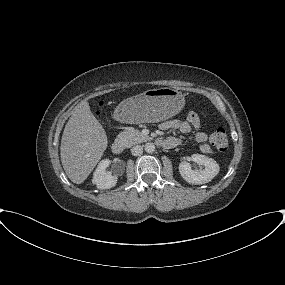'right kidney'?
<instances>
[{
    "label": "right kidney",
    "mask_w": 285,
    "mask_h": 285,
    "mask_svg": "<svg viewBox=\"0 0 285 285\" xmlns=\"http://www.w3.org/2000/svg\"><path fill=\"white\" fill-rule=\"evenodd\" d=\"M110 164L111 161L109 159L100 161L93 173L92 183L95 184L98 189H110L117 183V175H112L111 172L106 171V168L109 167Z\"/></svg>",
    "instance_id": "right-kidney-1"
}]
</instances>
